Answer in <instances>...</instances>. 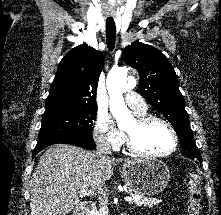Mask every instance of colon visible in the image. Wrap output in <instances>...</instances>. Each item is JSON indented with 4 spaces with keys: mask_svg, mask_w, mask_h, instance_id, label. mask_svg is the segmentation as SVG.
<instances>
[{
    "mask_svg": "<svg viewBox=\"0 0 221 215\" xmlns=\"http://www.w3.org/2000/svg\"><path fill=\"white\" fill-rule=\"evenodd\" d=\"M188 205L185 215H200L202 210V186L198 173L190 172L186 176Z\"/></svg>",
    "mask_w": 221,
    "mask_h": 215,
    "instance_id": "5ec220e1",
    "label": "colon"
}]
</instances>
